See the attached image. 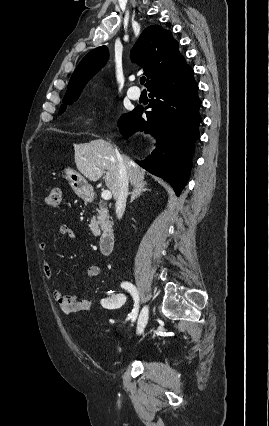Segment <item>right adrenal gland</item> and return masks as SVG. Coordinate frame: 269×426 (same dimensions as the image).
I'll return each mask as SVG.
<instances>
[{
    "mask_svg": "<svg viewBox=\"0 0 269 426\" xmlns=\"http://www.w3.org/2000/svg\"><path fill=\"white\" fill-rule=\"evenodd\" d=\"M151 191V189L147 188V183L143 182L139 185H135L133 187L131 194L130 202L132 203L136 198L142 195L144 192Z\"/></svg>",
    "mask_w": 269,
    "mask_h": 426,
    "instance_id": "2a0ac1e0",
    "label": "right adrenal gland"
}]
</instances>
